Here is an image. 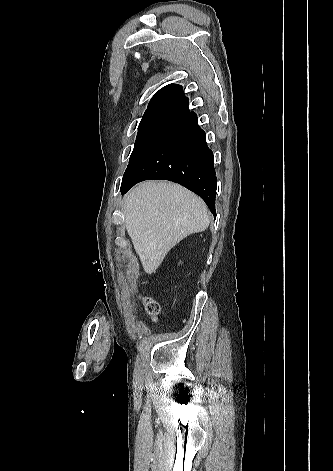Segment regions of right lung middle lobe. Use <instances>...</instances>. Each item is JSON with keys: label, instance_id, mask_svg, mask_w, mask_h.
I'll return each instance as SVG.
<instances>
[{"label": "right lung middle lobe", "instance_id": "obj_1", "mask_svg": "<svg viewBox=\"0 0 333 471\" xmlns=\"http://www.w3.org/2000/svg\"><path fill=\"white\" fill-rule=\"evenodd\" d=\"M175 122L174 120L165 118L143 117L138 127V135L128 167L156 137Z\"/></svg>", "mask_w": 333, "mask_h": 471}]
</instances>
